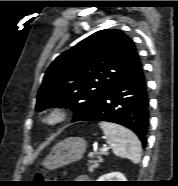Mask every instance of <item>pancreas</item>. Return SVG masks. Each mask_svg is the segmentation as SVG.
I'll use <instances>...</instances> for the list:
<instances>
[{
    "label": "pancreas",
    "mask_w": 178,
    "mask_h": 186,
    "mask_svg": "<svg viewBox=\"0 0 178 186\" xmlns=\"http://www.w3.org/2000/svg\"><path fill=\"white\" fill-rule=\"evenodd\" d=\"M100 162H102V157L101 156L98 157V160L90 161V165H89V169H88L89 172H93V170L96 169L99 166Z\"/></svg>",
    "instance_id": "obj_1"
}]
</instances>
